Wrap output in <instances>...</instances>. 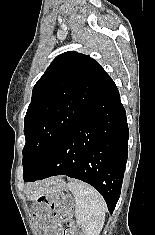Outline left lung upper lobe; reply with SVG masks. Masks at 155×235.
Masks as SVG:
<instances>
[{"label": "left lung upper lobe", "instance_id": "5c2ea615", "mask_svg": "<svg viewBox=\"0 0 155 235\" xmlns=\"http://www.w3.org/2000/svg\"><path fill=\"white\" fill-rule=\"evenodd\" d=\"M112 82L90 56H57L33 88L25 115L24 177L36 174Z\"/></svg>", "mask_w": 155, "mask_h": 235}]
</instances>
